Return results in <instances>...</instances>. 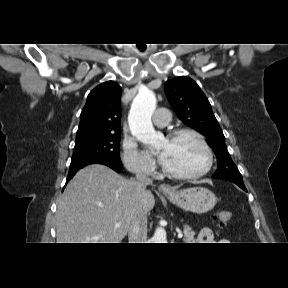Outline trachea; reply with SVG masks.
Masks as SVG:
<instances>
[{
  "label": "trachea",
  "mask_w": 288,
  "mask_h": 288,
  "mask_svg": "<svg viewBox=\"0 0 288 288\" xmlns=\"http://www.w3.org/2000/svg\"><path fill=\"white\" fill-rule=\"evenodd\" d=\"M145 49H140V51H144Z\"/></svg>",
  "instance_id": "1"
}]
</instances>
